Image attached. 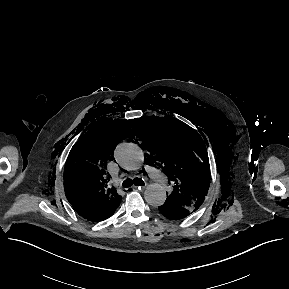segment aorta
I'll return each mask as SVG.
<instances>
[{"label": "aorta", "instance_id": "obj_1", "mask_svg": "<svg viewBox=\"0 0 289 289\" xmlns=\"http://www.w3.org/2000/svg\"><path fill=\"white\" fill-rule=\"evenodd\" d=\"M115 159L127 170H139L144 163V153L136 144L124 142L116 147ZM144 198L149 205L159 207L165 203L167 195L161 185L150 184L144 192Z\"/></svg>", "mask_w": 289, "mask_h": 289}]
</instances>
